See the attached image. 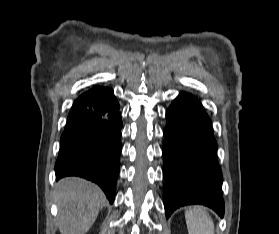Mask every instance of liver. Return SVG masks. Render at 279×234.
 Segmentation results:
<instances>
[{
  "instance_id": "obj_1",
  "label": "liver",
  "mask_w": 279,
  "mask_h": 234,
  "mask_svg": "<svg viewBox=\"0 0 279 234\" xmlns=\"http://www.w3.org/2000/svg\"><path fill=\"white\" fill-rule=\"evenodd\" d=\"M56 202L61 234H85L105 206L106 197L97 185L67 177L56 185Z\"/></svg>"
}]
</instances>
